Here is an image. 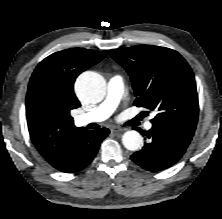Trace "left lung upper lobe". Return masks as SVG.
<instances>
[{"label": "left lung upper lobe", "mask_w": 222, "mask_h": 219, "mask_svg": "<svg viewBox=\"0 0 222 219\" xmlns=\"http://www.w3.org/2000/svg\"><path fill=\"white\" fill-rule=\"evenodd\" d=\"M110 55L130 75L134 105L157 112L153 125L193 137L199 114L196 84L192 69L177 51L137 45L110 50Z\"/></svg>", "instance_id": "left-lung-upper-lobe-1"}]
</instances>
